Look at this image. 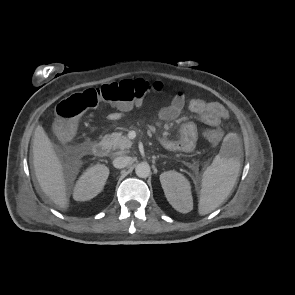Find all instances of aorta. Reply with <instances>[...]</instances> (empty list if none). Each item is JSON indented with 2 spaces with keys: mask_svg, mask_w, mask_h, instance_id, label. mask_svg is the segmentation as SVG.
Masks as SVG:
<instances>
[{
  "mask_svg": "<svg viewBox=\"0 0 295 295\" xmlns=\"http://www.w3.org/2000/svg\"><path fill=\"white\" fill-rule=\"evenodd\" d=\"M135 173L140 178H147L151 173V168L148 163H139L135 168Z\"/></svg>",
  "mask_w": 295,
  "mask_h": 295,
  "instance_id": "obj_1",
  "label": "aorta"
}]
</instances>
